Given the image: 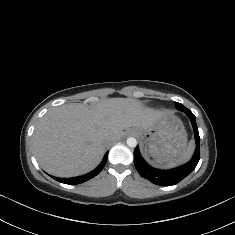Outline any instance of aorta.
Here are the masks:
<instances>
[{"mask_svg":"<svg viewBox=\"0 0 235 235\" xmlns=\"http://www.w3.org/2000/svg\"><path fill=\"white\" fill-rule=\"evenodd\" d=\"M126 143L129 147H136L137 140L133 137H130V138L127 139Z\"/></svg>","mask_w":235,"mask_h":235,"instance_id":"1","label":"aorta"}]
</instances>
